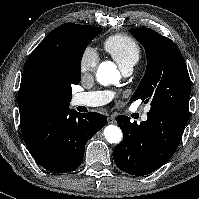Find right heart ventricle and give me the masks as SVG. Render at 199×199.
I'll list each match as a JSON object with an SVG mask.
<instances>
[{
    "label": "right heart ventricle",
    "mask_w": 199,
    "mask_h": 199,
    "mask_svg": "<svg viewBox=\"0 0 199 199\" xmlns=\"http://www.w3.org/2000/svg\"><path fill=\"white\" fill-rule=\"evenodd\" d=\"M104 48L121 69L133 67L141 56L139 44L125 34H115L108 37L104 42Z\"/></svg>",
    "instance_id": "obj_1"
}]
</instances>
